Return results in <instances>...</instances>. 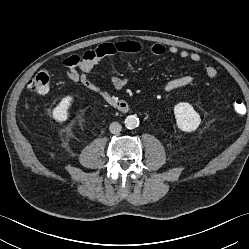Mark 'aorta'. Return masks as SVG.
I'll use <instances>...</instances> for the list:
<instances>
[{
  "mask_svg": "<svg viewBox=\"0 0 249 249\" xmlns=\"http://www.w3.org/2000/svg\"><path fill=\"white\" fill-rule=\"evenodd\" d=\"M124 123L128 129H135L139 126V119L134 115H130L126 117Z\"/></svg>",
  "mask_w": 249,
  "mask_h": 249,
  "instance_id": "762f6f07",
  "label": "aorta"
}]
</instances>
